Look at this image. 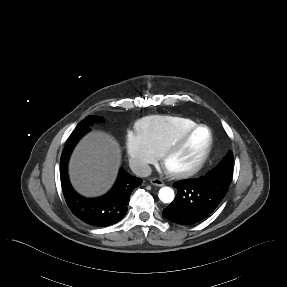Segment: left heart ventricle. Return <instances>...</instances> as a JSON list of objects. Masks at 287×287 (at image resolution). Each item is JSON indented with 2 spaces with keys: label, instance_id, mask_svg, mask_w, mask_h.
Wrapping results in <instances>:
<instances>
[{
  "label": "left heart ventricle",
  "instance_id": "obj_1",
  "mask_svg": "<svg viewBox=\"0 0 287 287\" xmlns=\"http://www.w3.org/2000/svg\"><path fill=\"white\" fill-rule=\"evenodd\" d=\"M209 143V132L205 128L197 130L186 144L167 162L171 170L186 169L193 166L202 156Z\"/></svg>",
  "mask_w": 287,
  "mask_h": 287
}]
</instances>
